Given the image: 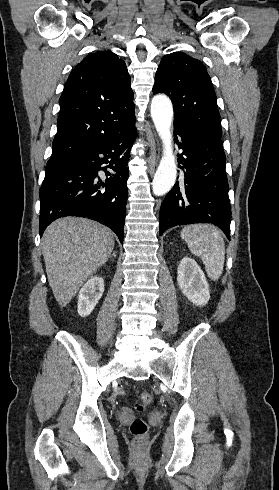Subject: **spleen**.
Returning a JSON list of instances; mask_svg holds the SVG:
<instances>
[{"instance_id":"spleen-1","label":"spleen","mask_w":279,"mask_h":490,"mask_svg":"<svg viewBox=\"0 0 279 490\" xmlns=\"http://www.w3.org/2000/svg\"><path fill=\"white\" fill-rule=\"evenodd\" d=\"M181 238L188 244L191 254L201 258L208 278L219 280L225 258V242L218 228L211 224H192L181 232Z\"/></svg>"}]
</instances>
